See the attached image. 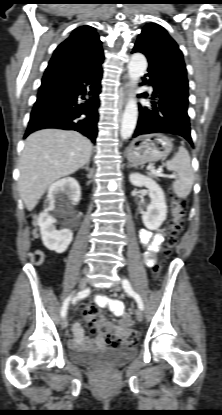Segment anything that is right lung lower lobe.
<instances>
[{"label":"right lung lower lobe","mask_w":222,"mask_h":415,"mask_svg":"<svg viewBox=\"0 0 222 415\" xmlns=\"http://www.w3.org/2000/svg\"><path fill=\"white\" fill-rule=\"evenodd\" d=\"M103 60L88 66L49 63L25 136L44 128L75 130L97 137Z\"/></svg>","instance_id":"obj_1"}]
</instances>
